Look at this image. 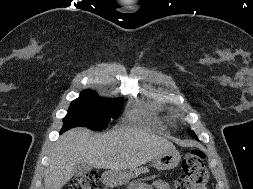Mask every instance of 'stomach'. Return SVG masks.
<instances>
[{
	"mask_svg": "<svg viewBox=\"0 0 253 189\" xmlns=\"http://www.w3.org/2000/svg\"><path fill=\"white\" fill-rule=\"evenodd\" d=\"M181 159L180 153L175 150H168L155 156L152 165L158 170H170L175 168ZM131 177V172L126 171H106L103 174V181L106 185L116 186L127 182Z\"/></svg>",
	"mask_w": 253,
	"mask_h": 189,
	"instance_id": "obj_1",
	"label": "stomach"
}]
</instances>
